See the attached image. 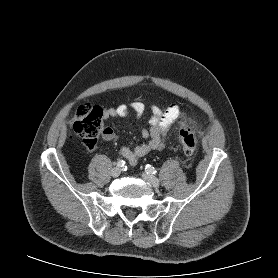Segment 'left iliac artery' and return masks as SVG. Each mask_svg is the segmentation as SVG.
Instances as JSON below:
<instances>
[{
	"mask_svg": "<svg viewBox=\"0 0 278 278\" xmlns=\"http://www.w3.org/2000/svg\"><path fill=\"white\" fill-rule=\"evenodd\" d=\"M145 170H146V173H148V174H156L157 173L156 169L153 166H151L150 164H147L145 166Z\"/></svg>",
	"mask_w": 278,
	"mask_h": 278,
	"instance_id": "44dca946",
	"label": "left iliac artery"
}]
</instances>
